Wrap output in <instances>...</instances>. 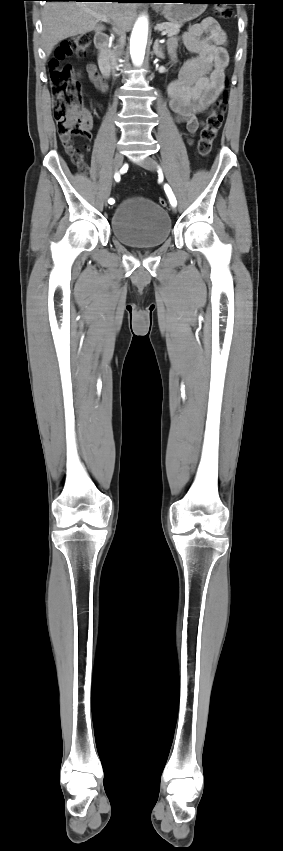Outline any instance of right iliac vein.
<instances>
[{"label":"right iliac vein","mask_w":283,"mask_h":851,"mask_svg":"<svg viewBox=\"0 0 283 851\" xmlns=\"http://www.w3.org/2000/svg\"><path fill=\"white\" fill-rule=\"evenodd\" d=\"M122 164H123V155L120 152H117L115 154V158H114V170L117 171L122 166ZM110 192H111V186L109 185L107 187L106 191H105V194H104V201H105L106 205H107V201H108L109 196H110Z\"/></svg>","instance_id":"63e3f726"}]
</instances>
